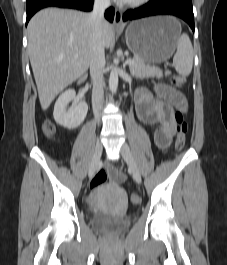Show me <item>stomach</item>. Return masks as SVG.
Masks as SVG:
<instances>
[{
    "instance_id": "1",
    "label": "stomach",
    "mask_w": 227,
    "mask_h": 265,
    "mask_svg": "<svg viewBox=\"0 0 227 265\" xmlns=\"http://www.w3.org/2000/svg\"><path fill=\"white\" fill-rule=\"evenodd\" d=\"M181 25L171 16H155L133 21L125 31L128 48L146 64L161 63L174 53Z\"/></svg>"
}]
</instances>
